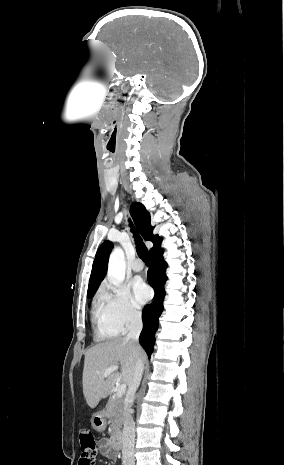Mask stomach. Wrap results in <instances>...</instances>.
Instances as JSON below:
<instances>
[{"instance_id":"0dacf381","label":"stomach","mask_w":284,"mask_h":465,"mask_svg":"<svg viewBox=\"0 0 284 465\" xmlns=\"http://www.w3.org/2000/svg\"><path fill=\"white\" fill-rule=\"evenodd\" d=\"M91 425L98 433H103L107 427V421L104 411H97L91 417Z\"/></svg>"}]
</instances>
